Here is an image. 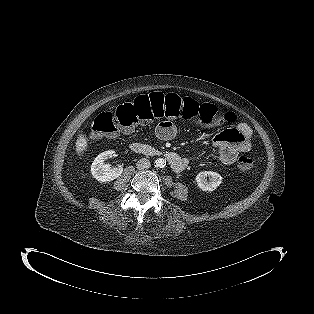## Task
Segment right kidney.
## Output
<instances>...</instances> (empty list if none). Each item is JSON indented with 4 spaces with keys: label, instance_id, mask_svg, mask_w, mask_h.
<instances>
[{
    "label": "right kidney",
    "instance_id": "1",
    "mask_svg": "<svg viewBox=\"0 0 314 314\" xmlns=\"http://www.w3.org/2000/svg\"><path fill=\"white\" fill-rule=\"evenodd\" d=\"M112 156H116L115 151L109 150L99 154L91 165L92 176L101 183L115 180L121 176L123 167L121 165L110 167L105 161Z\"/></svg>",
    "mask_w": 314,
    "mask_h": 314
}]
</instances>
